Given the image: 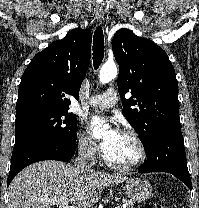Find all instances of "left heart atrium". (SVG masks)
I'll return each mask as SVG.
<instances>
[{
	"mask_svg": "<svg viewBox=\"0 0 199 208\" xmlns=\"http://www.w3.org/2000/svg\"><path fill=\"white\" fill-rule=\"evenodd\" d=\"M109 122V120L101 117V116H92L89 118L88 122H87V126L89 129H93L103 123ZM119 134L118 130L115 128H112L109 133L107 138L102 142L101 146L102 149L105 151L108 150V148L110 147L111 143L113 142L114 138H116V136Z\"/></svg>",
	"mask_w": 199,
	"mask_h": 208,
	"instance_id": "39dd6f15",
	"label": "left heart atrium"
}]
</instances>
